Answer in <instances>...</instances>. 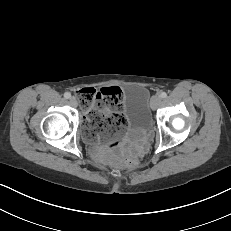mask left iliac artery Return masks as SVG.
<instances>
[{"mask_svg": "<svg viewBox=\"0 0 231 231\" xmlns=\"http://www.w3.org/2000/svg\"><path fill=\"white\" fill-rule=\"evenodd\" d=\"M160 97L161 98H166L167 97V93L166 92H161Z\"/></svg>", "mask_w": 231, "mask_h": 231, "instance_id": "44dca946", "label": "left iliac artery"}]
</instances>
